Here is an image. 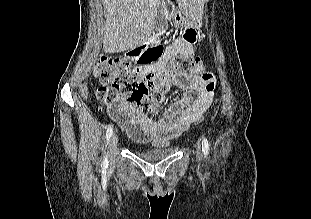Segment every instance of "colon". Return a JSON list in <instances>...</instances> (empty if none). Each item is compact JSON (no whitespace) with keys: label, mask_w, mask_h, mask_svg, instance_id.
<instances>
[{"label":"colon","mask_w":311,"mask_h":219,"mask_svg":"<svg viewBox=\"0 0 311 219\" xmlns=\"http://www.w3.org/2000/svg\"><path fill=\"white\" fill-rule=\"evenodd\" d=\"M183 38L191 41V32L186 31ZM140 52L141 50H138L133 54L137 55ZM160 53L156 51L152 58H144L142 62L156 59ZM203 69L204 65L199 57L185 55L176 57L172 62V70L182 74V77L179 78L178 84L173 86L185 85L187 76L199 73ZM94 75L102 84L95 91L97 100L110 107L116 115H118L117 108L121 103L135 105L143 114L154 115L164 101V95L161 92H157L154 97L149 94L150 86H152L150 79L139 77L136 69L126 59L102 55L96 61Z\"/></svg>","instance_id":"colon-1"}]
</instances>
